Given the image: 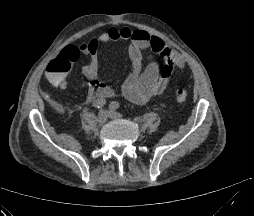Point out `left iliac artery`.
Instances as JSON below:
<instances>
[{
    "label": "left iliac artery",
    "mask_w": 254,
    "mask_h": 216,
    "mask_svg": "<svg viewBox=\"0 0 254 216\" xmlns=\"http://www.w3.org/2000/svg\"><path fill=\"white\" fill-rule=\"evenodd\" d=\"M119 107H120V104L116 101L111 102L110 105H109V108L111 110H117Z\"/></svg>",
    "instance_id": "obj_1"
}]
</instances>
